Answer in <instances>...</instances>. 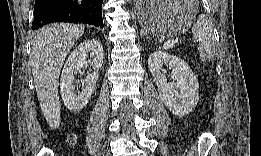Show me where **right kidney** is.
Returning a JSON list of instances; mask_svg holds the SVG:
<instances>
[{
  "instance_id": "right-kidney-1",
  "label": "right kidney",
  "mask_w": 261,
  "mask_h": 156,
  "mask_svg": "<svg viewBox=\"0 0 261 156\" xmlns=\"http://www.w3.org/2000/svg\"><path fill=\"white\" fill-rule=\"evenodd\" d=\"M88 56H90L89 62L94 72L86 77L84 89L77 94L74 91V74L87 64ZM103 59V46L96 39L85 40L72 51L63 67L60 83L61 97L69 110L77 112L88 104L94 86L98 81V71L103 65Z\"/></svg>"
}]
</instances>
